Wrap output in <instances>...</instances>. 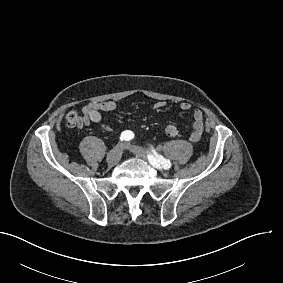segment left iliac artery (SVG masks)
<instances>
[{
    "instance_id": "1",
    "label": "left iliac artery",
    "mask_w": 283,
    "mask_h": 283,
    "mask_svg": "<svg viewBox=\"0 0 283 283\" xmlns=\"http://www.w3.org/2000/svg\"><path fill=\"white\" fill-rule=\"evenodd\" d=\"M154 154L157 157V159L154 158L152 155L148 156V159L152 165L157 166L158 164H161V166L164 167L165 169H169L171 167V162L169 160L165 159L161 155H158L155 151Z\"/></svg>"
}]
</instances>
